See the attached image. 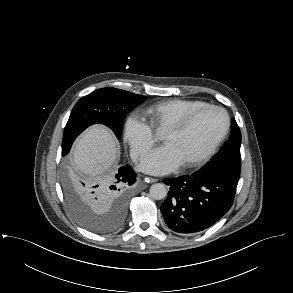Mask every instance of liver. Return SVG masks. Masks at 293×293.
I'll list each match as a JSON object with an SVG mask.
<instances>
[{"mask_svg": "<svg viewBox=\"0 0 293 293\" xmlns=\"http://www.w3.org/2000/svg\"><path fill=\"white\" fill-rule=\"evenodd\" d=\"M119 145L112 133L101 125H95L77 140L73 158L75 168L82 174L99 177L115 163Z\"/></svg>", "mask_w": 293, "mask_h": 293, "instance_id": "1", "label": "liver"}]
</instances>
